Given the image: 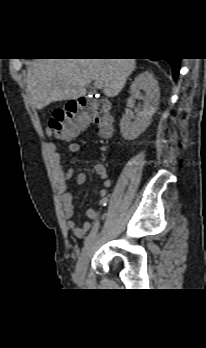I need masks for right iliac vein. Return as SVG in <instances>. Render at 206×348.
<instances>
[{
  "mask_svg": "<svg viewBox=\"0 0 206 348\" xmlns=\"http://www.w3.org/2000/svg\"><path fill=\"white\" fill-rule=\"evenodd\" d=\"M97 237L98 236L95 235L93 238H91V240L87 243L78 259L75 269V274L78 281H83L85 278L87 264L89 262V258L91 256Z\"/></svg>",
  "mask_w": 206,
  "mask_h": 348,
  "instance_id": "63e3f726",
  "label": "right iliac vein"
}]
</instances>
